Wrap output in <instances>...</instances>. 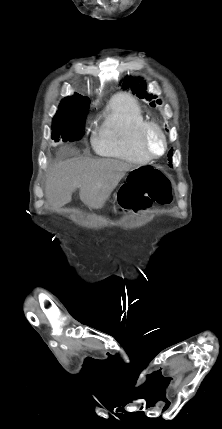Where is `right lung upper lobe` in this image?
Masks as SVG:
<instances>
[{"label": "right lung upper lobe", "mask_w": 222, "mask_h": 429, "mask_svg": "<svg viewBox=\"0 0 222 429\" xmlns=\"http://www.w3.org/2000/svg\"><path fill=\"white\" fill-rule=\"evenodd\" d=\"M84 99H86V100H89V98L88 97H83Z\"/></svg>", "instance_id": "cb5924a9"}]
</instances>
